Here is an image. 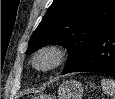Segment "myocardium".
I'll return each mask as SVG.
<instances>
[{"label": "myocardium", "mask_w": 115, "mask_h": 99, "mask_svg": "<svg viewBox=\"0 0 115 99\" xmlns=\"http://www.w3.org/2000/svg\"><path fill=\"white\" fill-rule=\"evenodd\" d=\"M67 49L58 43L47 44L40 47L32 56V67L39 72H50L61 66L67 59ZM42 57H48L50 62L47 65L41 66L38 60Z\"/></svg>", "instance_id": "1"}]
</instances>
